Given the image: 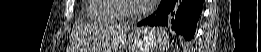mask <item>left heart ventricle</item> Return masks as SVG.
Here are the masks:
<instances>
[{
    "label": "left heart ventricle",
    "mask_w": 261,
    "mask_h": 52,
    "mask_svg": "<svg viewBox=\"0 0 261 52\" xmlns=\"http://www.w3.org/2000/svg\"><path fill=\"white\" fill-rule=\"evenodd\" d=\"M138 3L136 1H126L123 3L124 10L127 13H134L137 9Z\"/></svg>",
    "instance_id": "left-heart-ventricle-1"
}]
</instances>
